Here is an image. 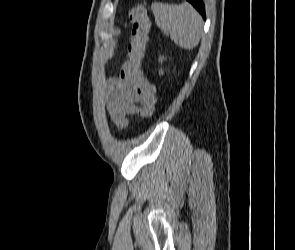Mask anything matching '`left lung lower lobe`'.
Listing matches in <instances>:
<instances>
[{
    "mask_svg": "<svg viewBox=\"0 0 295 250\" xmlns=\"http://www.w3.org/2000/svg\"><path fill=\"white\" fill-rule=\"evenodd\" d=\"M187 1L190 2L199 11V13L203 16L204 19H206L203 0H187Z\"/></svg>",
    "mask_w": 295,
    "mask_h": 250,
    "instance_id": "0a47b994",
    "label": "left lung lower lobe"
}]
</instances>
